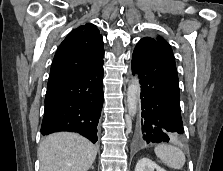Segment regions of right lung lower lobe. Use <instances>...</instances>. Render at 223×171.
<instances>
[{"instance_id":"right-lung-lower-lobe-1","label":"right lung lower lobe","mask_w":223,"mask_h":171,"mask_svg":"<svg viewBox=\"0 0 223 171\" xmlns=\"http://www.w3.org/2000/svg\"><path fill=\"white\" fill-rule=\"evenodd\" d=\"M103 73L102 63L81 76L48 85L41 133L78 132L95 143L103 105Z\"/></svg>"}]
</instances>
